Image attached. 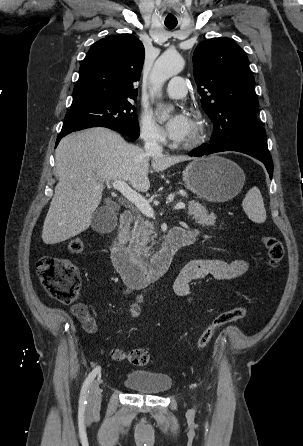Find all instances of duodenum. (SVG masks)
Listing matches in <instances>:
<instances>
[{
  "label": "duodenum",
  "mask_w": 303,
  "mask_h": 446,
  "mask_svg": "<svg viewBox=\"0 0 303 446\" xmlns=\"http://www.w3.org/2000/svg\"><path fill=\"white\" fill-rule=\"evenodd\" d=\"M130 211H123L119 220V231L124 233L132 222ZM193 243V238L181 227H174L165 235L159 251L149 260L131 255L116 238L111 245V259L124 282L130 288H140L161 277L169 269L176 253Z\"/></svg>",
  "instance_id": "1"
}]
</instances>
